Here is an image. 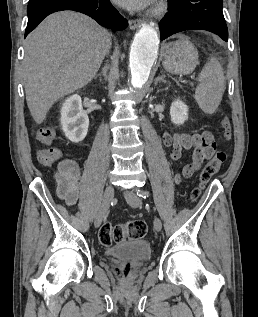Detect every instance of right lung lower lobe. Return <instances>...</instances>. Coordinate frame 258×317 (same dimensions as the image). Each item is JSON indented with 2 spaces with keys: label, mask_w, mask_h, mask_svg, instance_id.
I'll return each instance as SVG.
<instances>
[{
  "label": "right lung lower lobe",
  "mask_w": 258,
  "mask_h": 317,
  "mask_svg": "<svg viewBox=\"0 0 258 317\" xmlns=\"http://www.w3.org/2000/svg\"><path fill=\"white\" fill-rule=\"evenodd\" d=\"M62 10H74L84 13L100 25L121 31L128 22L112 6L109 0H29L27 13L28 24L25 37L49 14Z\"/></svg>",
  "instance_id": "98d812e1"
}]
</instances>
